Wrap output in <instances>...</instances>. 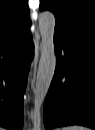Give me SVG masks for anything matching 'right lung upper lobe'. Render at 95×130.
<instances>
[{
  "label": "right lung upper lobe",
  "instance_id": "cb5924a9",
  "mask_svg": "<svg viewBox=\"0 0 95 130\" xmlns=\"http://www.w3.org/2000/svg\"><path fill=\"white\" fill-rule=\"evenodd\" d=\"M30 25L27 0H0V42L22 35Z\"/></svg>",
  "mask_w": 95,
  "mask_h": 130
}]
</instances>
